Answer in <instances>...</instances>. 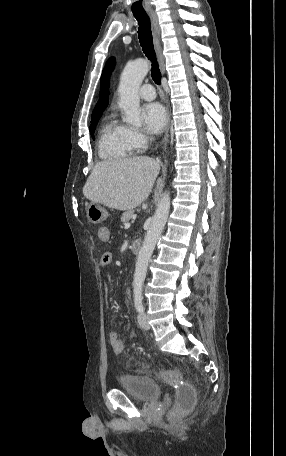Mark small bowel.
<instances>
[{
    "label": "small bowel",
    "mask_w": 286,
    "mask_h": 456,
    "mask_svg": "<svg viewBox=\"0 0 286 456\" xmlns=\"http://www.w3.org/2000/svg\"><path fill=\"white\" fill-rule=\"evenodd\" d=\"M98 237L102 241H109L110 239V231L109 228L103 226L98 229ZM113 260V254L111 252H105L100 258V265L101 266H108L111 264ZM106 292L108 291V286H105ZM109 342L113 348V351L116 354H120L124 351L125 345L122 339L120 338L119 334L116 331H112L109 333Z\"/></svg>",
    "instance_id": "small-bowel-1"
}]
</instances>
